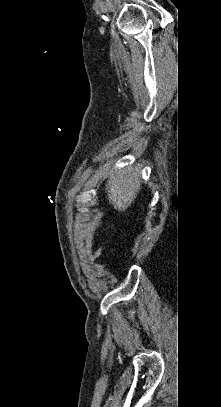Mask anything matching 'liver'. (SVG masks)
Listing matches in <instances>:
<instances>
[{
	"label": "liver",
	"instance_id": "6515ba94",
	"mask_svg": "<svg viewBox=\"0 0 221 407\" xmlns=\"http://www.w3.org/2000/svg\"><path fill=\"white\" fill-rule=\"evenodd\" d=\"M106 192L109 204L118 212H125L134 202L141 189L139 170L133 166L106 172Z\"/></svg>",
	"mask_w": 221,
	"mask_h": 407
}]
</instances>
